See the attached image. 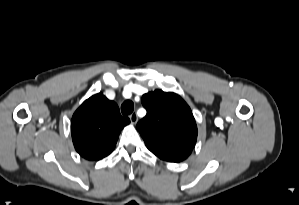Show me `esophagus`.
<instances>
[{
    "label": "esophagus",
    "instance_id": "1",
    "mask_svg": "<svg viewBox=\"0 0 299 205\" xmlns=\"http://www.w3.org/2000/svg\"><path fill=\"white\" fill-rule=\"evenodd\" d=\"M129 118H130V121H131L132 124H136L137 121H138V116H137L136 113H132V114L129 116Z\"/></svg>",
    "mask_w": 299,
    "mask_h": 205
}]
</instances>
